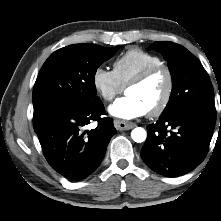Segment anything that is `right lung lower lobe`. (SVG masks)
I'll return each mask as SVG.
<instances>
[{
  "mask_svg": "<svg viewBox=\"0 0 221 221\" xmlns=\"http://www.w3.org/2000/svg\"><path fill=\"white\" fill-rule=\"evenodd\" d=\"M104 106L98 100L85 108H69L50 116L35 132L50 166L70 181L91 175L100 165L116 129L110 118H101ZM99 124L91 131L83 126Z\"/></svg>",
  "mask_w": 221,
  "mask_h": 221,
  "instance_id": "right-lung-lower-lobe-1",
  "label": "right lung lower lobe"
}]
</instances>
